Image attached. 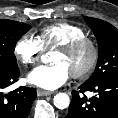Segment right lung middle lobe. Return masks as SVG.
<instances>
[{
	"label": "right lung middle lobe",
	"mask_w": 118,
	"mask_h": 118,
	"mask_svg": "<svg viewBox=\"0 0 118 118\" xmlns=\"http://www.w3.org/2000/svg\"><path fill=\"white\" fill-rule=\"evenodd\" d=\"M31 29L30 25L12 20L0 19V72L18 69L14 49L17 41Z\"/></svg>",
	"instance_id": "1"
}]
</instances>
